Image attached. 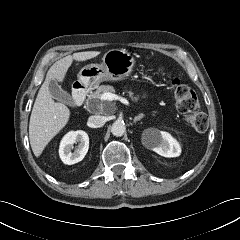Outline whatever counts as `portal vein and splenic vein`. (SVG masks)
Returning a JSON list of instances; mask_svg holds the SVG:
<instances>
[{
    "instance_id": "1",
    "label": "portal vein and splenic vein",
    "mask_w": 240,
    "mask_h": 240,
    "mask_svg": "<svg viewBox=\"0 0 240 240\" xmlns=\"http://www.w3.org/2000/svg\"><path fill=\"white\" fill-rule=\"evenodd\" d=\"M100 99L102 101L120 100L122 103H124L126 105H129V102L125 98L119 97V96H117V95H115L113 93H110V92L102 94Z\"/></svg>"
}]
</instances>
